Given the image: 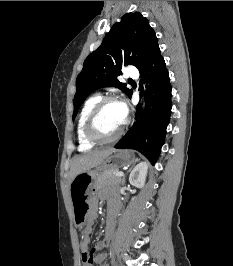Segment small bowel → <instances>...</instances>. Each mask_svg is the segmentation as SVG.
Wrapping results in <instances>:
<instances>
[{"mask_svg": "<svg viewBox=\"0 0 233 266\" xmlns=\"http://www.w3.org/2000/svg\"><path fill=\"white\" fill-rule=\"evenodd\" d=\"M119 203L115 199H111L109 202V208L113 207L118 209ZM97 216V203L96 201L93 202L90 213H89V222H94ZM115 229V220L114 218L107 220L106 224V230H105V237L97 242L92 248H89L90 242H91V229L90 227L84 229L81 234V255L83 253H91L92 254V259L91 262L86 265L83 264L84 266H93L94 264L101 265V266H107L104 262L106 260V254L101 253V251L104 248H107L110 246L111 243V238L113 236Z\"/></svg>", "mask_w": 233, "mask_h": 266, "instance_id": "small-bowel-1", "label": "small bowel"}]
</instances>
